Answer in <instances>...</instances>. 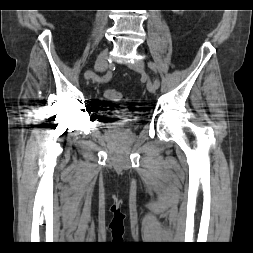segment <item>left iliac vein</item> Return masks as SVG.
<instances>
[{
	"instance_id": "obj_1",
	"label": "left iliac vein",
	"mask_w": 253,
	"mask_h": 253,
	"mask_svg": "<svg viewBox=\"0 0 253 253\" xmlns=\"http://www.w3.org/2000/svg\"><path fill=\"white\" fill-rule=\"evenodd\" d=\"M129 67L137 72L143 73L146 81H147V89L150 93H155L156 91V87L154 86V83L151 81V79L149 78V76L145 73V66L143 61L141 60H137L135 63L130 64Z\"/></svg>"
}]
</instances>
